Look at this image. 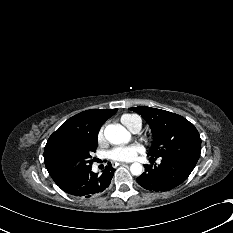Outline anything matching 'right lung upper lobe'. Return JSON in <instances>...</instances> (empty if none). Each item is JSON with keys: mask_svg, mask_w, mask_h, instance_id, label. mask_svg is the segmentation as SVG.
<instances>
[{"mask_svg": "<svg viewBox=\"0 0 233 233\" xmlns=\"http://www.w3.org/2000/svg\"><path fill=\"white\" fill-rule=\"evenodd\" d=\"M117 110L90 109L83 111L69 118L49 137L44 149V161L50 176L57 185L65 180L55 170L54 158L57 151L67 144L97 139L102 124Z\"/></svg>", "mask_w": 233, "mask_h": 233, "instance_id": "obj_1", "label": "right lung upper lobe"}]
</instances>
